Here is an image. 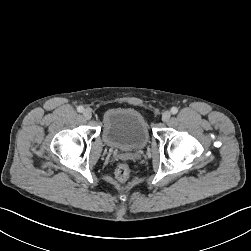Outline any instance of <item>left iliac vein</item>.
Returning a JSON list of instances; mask_svg holds the SVG:
<instances>
[{
  "mask_svg": "<svg viewBox=\"0 0 251 251\" xmlns=\"http://www.w3.org/2000/svg\"><path fill=\"white\" fill-rule=\"evenodd\" d=\"M171 117V113L169 111H165L162 114V121L167 122Z\"/></svg>",
  "mask_w": 251,
  "mask_h": 251,
  "instance_id": "obj_1",
  "label": "left iliac vein"
}]
</instances>
